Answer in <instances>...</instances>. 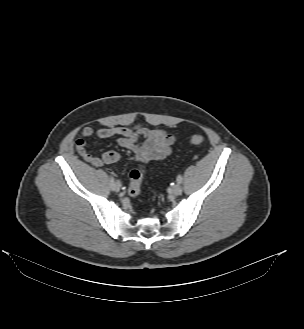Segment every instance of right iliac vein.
Returning <instances> with one entry per match:
<instances>
[{
  "label": "right iliac vein",
  "mask_w": 304,
  "mask_h": 329,
  "mask_svg": "<svg viewBox=\"0 0 304 329\" xmlns=\"http://www.w3.org/2000/svg\"><path fill=\"white\" fill-rule=\"evenodd\" d=\"M121 189V184L120 182L116 181L114 185V191L118 192Z\"/></svg>",
  "instance_id": "63e3f726"
}]
</instances>
